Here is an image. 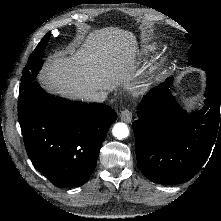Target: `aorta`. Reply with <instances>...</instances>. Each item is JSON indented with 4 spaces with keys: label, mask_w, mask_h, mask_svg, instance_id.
I'll return each mask as SVG.
<instances>
[{
    "label": "aorta",
    "mask_w": 221,
    "mask_h": 221,
    "mask_svg": "<svg viewBox=\"0 0 221 221\" xmlns=\"http://www.w3.org/2000/svg\"><path fill=\"white\" fill-rule=\"evenodd\" d=\"M112 134L119 140L127 138L129 135L128 126L125 123H116L112 129Z\"/></svg>",
    "instance_id": "aorta-1"
}]
</instances>
